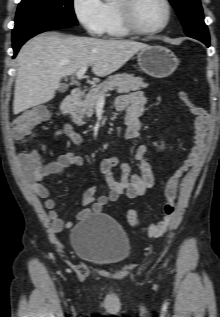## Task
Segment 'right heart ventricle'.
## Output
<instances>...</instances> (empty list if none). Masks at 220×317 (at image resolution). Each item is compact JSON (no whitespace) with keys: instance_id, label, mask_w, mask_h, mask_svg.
Returning a JSON list of instances; mask_svg holds the SVG:
<instances>
[{"instance_id":"1","label":"right heart ventricle","mask_w":220,"mask_h":317,"mask_svg":"<svg viewBox=\"0 0 220 317\" xmlns=\"http://www.w3.org/2000/svg\"><path fill=\"white\" fill-rule=\"evenodd\" d=\"M107 36L121 38L128 36L129 32L122 26L116 12L115 3L107 2L105 4V22L104 31Z\"/></svg>"}]
</instances>
